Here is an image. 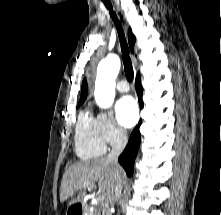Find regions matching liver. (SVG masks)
Instances as JSON below:
<instances>
[{"label": "liver", "instance_id": "liver-1", "mask_svg": "<svg viewBox=\"0 0 221 215\" xmlns=\"http://www.w3.org/2000/svg\"><path fill=\"white\" fill-rule=\"evenodd\" d=\"M125 178L121 166H115L106 158L94 159L72 165L63 175L60 188V201L64 202L80 191L77 198L69 202V206L81 202L86 195L89 184L98 182L100 197L105 202L114 201V189L117 183H123Z\"/></svg>", "mask_w": 221, "mask_h": 215}]
</instances>
